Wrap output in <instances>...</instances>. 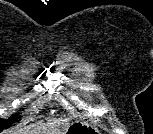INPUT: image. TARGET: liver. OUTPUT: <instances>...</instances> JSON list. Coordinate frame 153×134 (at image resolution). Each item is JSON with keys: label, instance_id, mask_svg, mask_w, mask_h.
Segmentation results:
<instances>
[{"label": "liver", "instance_id": "6515ba94", "mask_svg": "<svg viewBox=\"0 0 153 134\" xmlns=\"http://www.w3.org/2000/svg\"><path fill=\"white\" fill-rule=\"evenodd\" d=\"M41 132H45L44 126L41 123H38L22 129L6 131L5 134H40Z\"/></svg>", "mask_w": 153, "mask_h": 134}]
</instances>
